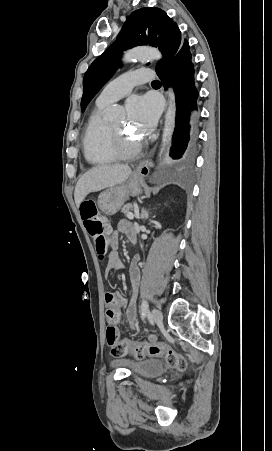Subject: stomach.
<instances>
[{
    "label": "stomach",
    "instance_id": "obj_1",
    "mask_svg": "<svg viewBox=\"0 0 272 451\" xmlns=\"http://www.w3.org/2000/svg\"><path fill=\"white\" fill-rule=\"evenodd\" d=\"M141 182H143V178H135V174H133L126 184L121 182V184H115V186H111L105 192H101L97 202L99 210L103 214H107V216H113L120 210L129 196H139L141 194Z\"/></svg>",
    "mask_w": 272,
    "mask_h": 451
}]
</instances>
